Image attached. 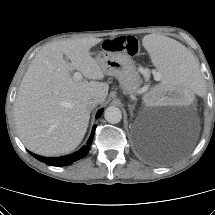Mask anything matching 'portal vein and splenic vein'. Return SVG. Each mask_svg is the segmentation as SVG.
<instances>
[{"instance_id":"portal-vein-and-splenic-vein-1","label":"portal vein and splenic vein","mask_w":215,"mask_h":215,"mask_svg":"<svg viewBox=\"0 0 215 215\" xmlns=\"http://www.w3.org/2000/svg\"><path fill=\"white\" fill-rule=\"evenodd\" d=\"M73 77L77 80H82V78H83L82 74L78 71L74 73ZM160 78H161V75L159 74L158 79H160Z\"/></svg>"}]
</instances>
